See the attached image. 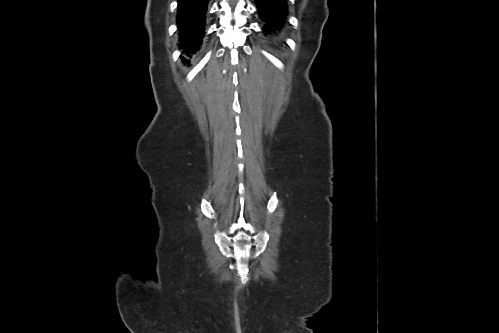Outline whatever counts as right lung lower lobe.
Wrapping results in <instances>:
<instances>
[{
  "instance_id": "98d812e1",
  "label": "right lung lower lobe",
  "mask_w": 499,
  "mask_h": 333,
  "mask_svg": "<svg viewBox=\"0 0 499 333\" xmlns=\"http://www.w3.org/2000/svg\"><path fill=\"white\" fill-rule=\"evenodd\" d=\"M209 0H178L177 23L180 46L187 53L199 49L204 31L205 11ZM183 61L187 60L183 58Z\"/></svg>"
}]
</instances>
